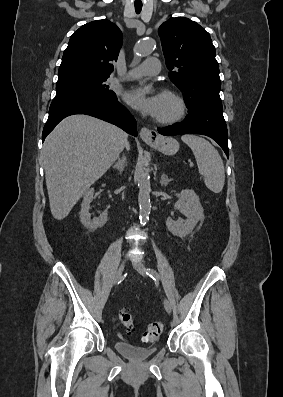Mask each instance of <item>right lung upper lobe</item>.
<instances>
[{"instance_id": "1", "label": "right lung upper lobe", "mask_w": 283, "mask_h": 397, "mask_svg": "<svg viewBox=\"0 0 283 397\" xmlns=\"http://www.w3.org/2000/svg\"><path fill=\"white\" fill-rule=\"evenodd\" d=\"M122 42V32L107 19L83 25L71 35L58 77L110 76L113 71L112 62L117 61Z\"/></svg>"}]
</instances>
